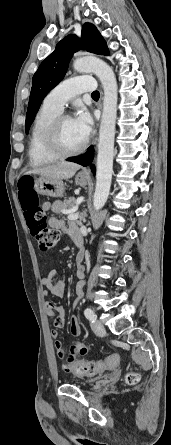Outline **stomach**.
<instances>
[{"label":"stomach","mask_w":171,"mask_h":445,"mask_svg":"<svg viewBox=\"0 0 171 445\" xmlns=\"http://www.w3.org/2000/svg\"><path fill=\"white\" fill-rule=\"evenodd\" d=\"M87 178L76 176L77 185L84 186L87 184ZM34 189L37 193L47 195L54 198H60L64 195V183L61 179H51L47 177L34 178Z\"/></svg>","instance_id":"1"}]
</instances>
